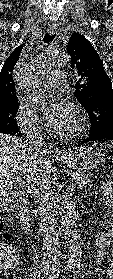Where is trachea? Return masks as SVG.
<instances>
[{"label": "trachea", "instance_id": "3493384b", "mask_svg": "<svg viewBox=\"0 0 113 279\" xmlns=\"http://www.w3.org/2000/svg\"><path fill=\"white\" fill-rule=\"evenodd\" d=\"M54 38H55V34L46 33L43 38V41H44V43L47 44V43H50Z\"/></svg>", "mask_w": 113, "mask_h": 279}]
</instances>
